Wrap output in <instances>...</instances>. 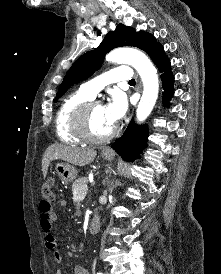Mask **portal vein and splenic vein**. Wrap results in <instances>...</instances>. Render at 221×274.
<instances>
[{"label":"portal vein and splenic vein","mask_w":221,"mask_h":274,"mask_svg":"<svg viewBox=\"0 0 221 274\" xmlns=\"http://www.w3.org/2000/svg\"><path fill=\"white\" fill-rule=\"evenodd\" d=\"M87 191H88L87 186L80 191L81 198H84L86 196Z\"/></svg>","instance_id":"18ae733b"}]
</instances>
